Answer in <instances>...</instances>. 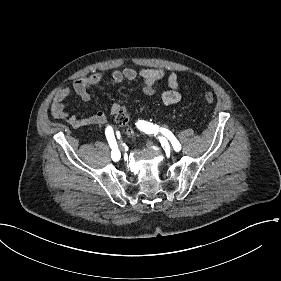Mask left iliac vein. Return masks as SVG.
I'll return each instance as SVG.
<instances>
[{"label":"left iliac vein","mask_w":281,"mask_h":281,"mask_svg":"<svg viewBox=\"0 0 281 281\" xmlns=\"http://www.w3.org/2000/svg\"><path fill=\"white\" fill-rule=\"evenodd\" d=\"M166 147H167L168 149H170V145H169V144H167Z\"/></svg>","instance_id":"left-iliac-vein-1"}]
</instances>
